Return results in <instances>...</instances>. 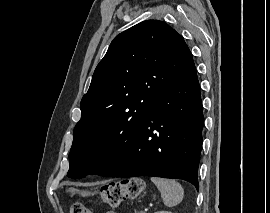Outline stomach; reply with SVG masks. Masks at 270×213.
I'll use <instances>...</instances> for the list:
<instances>
[{"label":"stomach","instance_id":"1","mask_svg":"<svg viewBox=\"0 0 270 213\" xmlns=\"http://www.w3.org/2000/svg\"><path fill=\"white\" fill-rule=\"evenodd\" d=\"M66 191L69 192L71 195L80 194L82 196H88V195L94 194V193H91L89 191L78 190V189H76L74 187H69Z\"/></svg>","mask_w":270,"mask_h":213}]
</instances>
